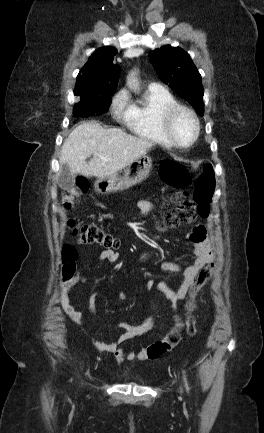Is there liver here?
I'll list each match as a JSON object with an SVG mask.
<instances>
[{"mask_svg":"<svg viewBox=\"0 0 264 433\" xmlns=\"http://www.w3.org/2000/svg\"><path fill=\"white\" fill-rule=\"evenodd\" d=\"M153 146L122 129H105L96 121H87L76 126L64 141L59 161L67 164L72 174L103 179L117 175ZM91 155L93 159L87 163Z\"/></svg>","mask_w":264,"mask_h":433,"instance_id":"liver-1","label":"liver"}]
</instances>
